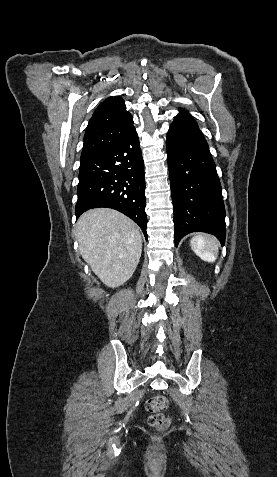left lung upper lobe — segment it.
I'll return each mask as SVG.
<instances>
[{
  "label": "left lung upper lobe",
  "instance_id": "1",
  "mask_svg": "<svg viewBox=\"0 0 277 477\" xmlns=\"http://www.w3.org/2000/svg\"><path fill=\"white\" fill-rule=\"evenodd\" d=\"M175 118H192V116L187 111L181 109L180 114Z\"/></svg>",
  "mask_w": 277,
  "mask_h": 477
}]
</instances>
